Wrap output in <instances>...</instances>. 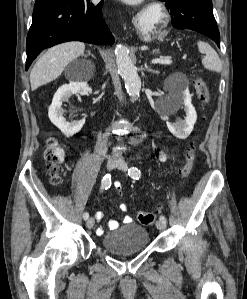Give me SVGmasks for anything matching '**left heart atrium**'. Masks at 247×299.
<instances>
[{
  "mask_svg": "<svg viewBox=\"0 0 247 299\" xmlns=\"http://www.w3.org/2000/svg\"><path fill=\"white\" fill-rule=\"evenodd\" d=\"M124 1H128V2H137L139 0H124Z\"/></svg>",
  "mask_w": 247,
  "mask_h": 299,
  "instance_id": "left-heart-atrium-1",
  "label": "left heart atrium"
}]
</instances>
